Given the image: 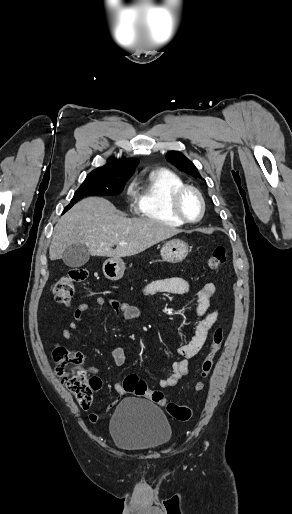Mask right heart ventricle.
I'll return each instance as SVG.
<instances>
[{
    "mask_svg": "<svg viewBox=\"0 0 292 514\" xmlns=\"http://www.w3.org/2000/svg\"><path fill=\"white\" fill-rule=\"evenodd\" d=\"M182 184L181 178L170 171L163 169L151 171L139 184L131 203V211L138 216L171 227L182 226L183 223L169 212L167 202L169 193Z\"/></svg>",
    "mask_w": 292,
    "mask_h": 514,
    "instance_id": "e07e8e85",
    "label": "right heart ventricle"
}]
</instances>
